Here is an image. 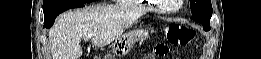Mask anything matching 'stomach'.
<instances>
[{"label": "stomach", "mask_w": 261, "mask_h": 59, "mask_svg": "<svg viewBox=\"0 0 261 59\" xmlns=\"http://www.w3.org/2000/svg\"><path fill=\"white\" fill-rule=\"evenodd\" d=\"M148 37V32L144 29H137L129 32L128 34H124L119 37L114 44L112 49L114 55L124 56L126 55L132 48L135 42L140 40H145Z\"/></svg>", "instance_id": "obj_1"}]
</instances>
